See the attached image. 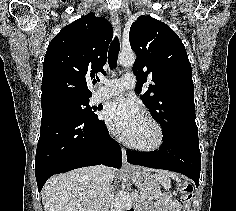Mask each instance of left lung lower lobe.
I'll use <instances>...</instances> for the list:
<instances>
[{
    "label": "left lung lower lobe",
    "mask_w": 236,
    "mask_h": 211,
    "mask_svg": "<svg viewBox=\"0 0 236 211\" xmlns=\"http://www.w3.org/2000/svg\"><path fill=\"white\" fill-rule=\"evenodd\" d=\"M130 164L180 172L199 185L201 155L198 135H171L152 152L126 151Z\"/></svg>",
    "instance_id": "left-lung-lower-lobe-1"
}]
</instances>
